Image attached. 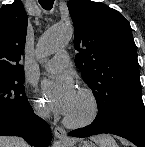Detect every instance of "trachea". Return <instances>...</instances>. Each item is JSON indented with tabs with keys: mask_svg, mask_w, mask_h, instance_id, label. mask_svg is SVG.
<instances>
[{
	"mask_svg": "<svg viewBox=\"0 0 145 147\" xmlns=\"http://www.w3.org/2000/svg\"><path fill=\"white\" fill-rule=\"evenodd\" d=\"M39 3L44 9L51 10L54 0H40Z\"/></svg>",
	"mask_w": 145,
	"mask_h": 147,
	"instance_id": "3493384b",
	"label": "trachea"
}]
</instances>
